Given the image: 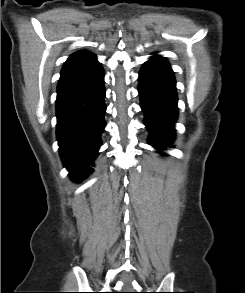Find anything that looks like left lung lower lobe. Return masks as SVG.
<instances>
[{
  "label": "left lung lower lobe",
  "mask_w": 245,
  "mask_h": 293,
  "mask_svg": "<svg viewBox=\"0 0 245 293\" xmlns=\"http://www.w3.org/2000/svg\"><path fill=\"white\" fill-rule=\"evenodd\" d=\"M139 95L149 129L148 141L157 149H165L174 140V123L178 107L176 82L166 59L154 56L139 73Z\"/></svg>",
  "instance_id": "0a47b994"
}]
</instances>
